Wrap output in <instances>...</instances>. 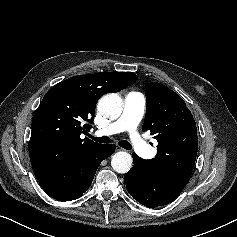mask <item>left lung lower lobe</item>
Returning a JSON list of instances; mask_svg holds the SVG:
<instances>
[{"instance_id":"1","label":"left lung lower lobe","mask_w":237,"mask_h":237,"mask_svg":"<svg viewBox=\"0 0 237 237\" xmlns=\"http://www.w3.org/2000/svg\"><path fill=\"white\" fill-rule=\"evenodd\" d=\"M134 166L124 175L128 193L149 208L174 201L190 177L163 174L148 161L133 153Z\"/></svg>"}]
</instances>
